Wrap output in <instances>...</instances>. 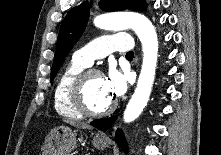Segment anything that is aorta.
Listing matches in <instances>:
<instances>
[{
    "mask_svg": "<svg viewBox=\"0 0 221 155\" xmlns=\"http://www.w3.org/2000/svg\"><path fill=\"white\" fill-rule=\"evenodd\" d=\"M96 27L104 30L131 28L142 43L143 61L137 86L124 111V121L129 123L139 117L149 100L157 65L158 39L154 26L144 15L135 12L106 14L94 19Z\"/></svg>",
    "mask_w": 221,
    "mask_h": 155,
    "instance_id": "aorta-1",
    "label": "aorta"
}]
</instances>
